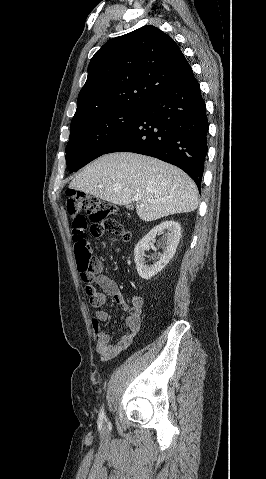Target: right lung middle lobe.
I'll list each match as a JSON object with an SVG mask.
<instances>
[{
	"label": "right lung middle lobe",
	"mask_w": 266,
	"mask_h": 479,
	"mask_svg": "<svg viewBox=\"0 0 266 479\" xmlns=\"http://www.w3.org/2000/svg\"><path fill=\"white\" fill-rule=\"evenodd\" d=\"M142 111L143 108H121L73 120L65 156L69 170L76 172L103 155Z\"/></svg>",
	"instance_id": "right-lung-middle-lobe-1"
}]
</instances>
